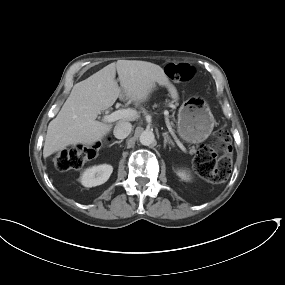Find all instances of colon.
<instances>
[{
  "label": "colon",
  "instance_id": "obj_1",
  "mask_svg": "<svg viewBox=\"0 0 285 285\" xmlns=\"http://www.w3.org/2000/svg\"><path fill=\"white\" fill-rule=\"evenodd\" d=\"M168 74L179 81L185 82L193 77L194 70L188 64L170 63L167 65ZM87 148L69 147L55 156V166L61 171L80 169L88 154ZM231 144L227 131L221 127L217 129L210 145L201 146L194 159V169L197 174L213 182L225 181L231 173Z\"/></svg>",
  "mask_w": 285,
  "mask_h": 285
}]
</instances>
